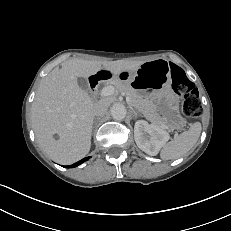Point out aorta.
Returning <instances> with one entry per match:
<instances>
[{"instance_id": "762f6f07", "label": "aorta", "mask_w": 231, "mask_h": 231, "mask_svg": "<svg viewBox=\"0 0 231 231\" xmlns=\"http://www.w3.org/2000/svg\"><path fill=\"white\" fill-rule=\"evenodd\" d=\"M126 114L127 110L121 103H116L111 107V115L115 120H123Z\"/></svg>"}]
</instances>
